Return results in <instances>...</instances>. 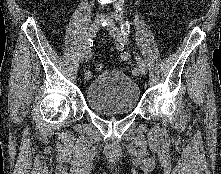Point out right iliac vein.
I'll list each match as a JSON object with an SVG mask.
<instances>
[{
	"instance_id": "obj_1",
	"label": "right iliac vein",
	"mask_w": 221,
	"mask_h": 174,
	"mask_svg": "<svg viewBox=\"0 0 221 174\" xmlns=\"http://www.w3.org/2000/svg\"><path fill=\"white\" fill-rule=\"evenodd\" d=\"M99 26L97 23H93L91 24V26L89 27L87 34H86V46L83 50V53L81 55V62H83L84 60H86L87 58V54H88V45H89V40L93 39L97 32H98Z\"/></svg>"
}]
</instances>
